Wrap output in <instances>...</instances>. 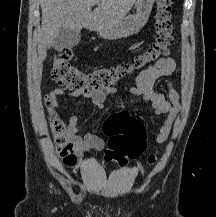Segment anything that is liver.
<instances>
[{
  "label": "liver",
  "mask_w": 216,
  "mask_h": 217,
  "mask_svg": "<svg viewBox=\"0 0 216 217\" xmlns=\"http://www.w3.org/2000/svg\"><path fill=\"white\" fill-rule=\"evenodd\" d=\"M136 0H41L38 54L42 62L62 28L100 30L119 24ZM97 7L92 11V7Z\"/></svg>",
  "instance_id": "1"
}]
</instances>
